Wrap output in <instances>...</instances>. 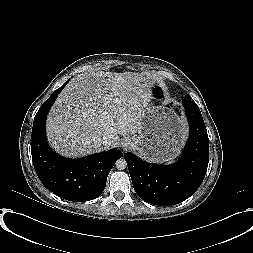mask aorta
Listing matches in <instances>:
<instances>
[{"label":"aorta","instance_id":"762f6f07","mask_svg":"<svg viewBox=\"0 0 253 253\" xmlns=\"http://www.w3.org/2000/svg\"><path fill=\"white\" fill-rule=\"evenodd\" d=\"M115 166L118 170H124L127 167V162L124 158H120L116 161Z\"/></svg>","mask_w":253,"mask_h":253}]
</instances>
